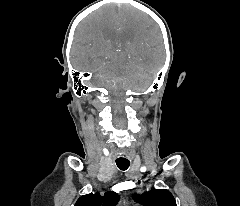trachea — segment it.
Wrapping results in <instances>:
<instances>
[{
    "instance_id": "1",
    "label": "trachea",
    "mask_w": 240,
    "mask_h": 206,
    "mask_svg": "<svg viewBox=\"0 0 240 206\" xmlns=\"http://www.w3.org/2000/svg\"><path fill=\"white\" fill-rule=\"evenodd\" d=\"M116 164L120 170L128 169L130 162L127 159L116 160Z\"/></svg>"
}]
</instances>
